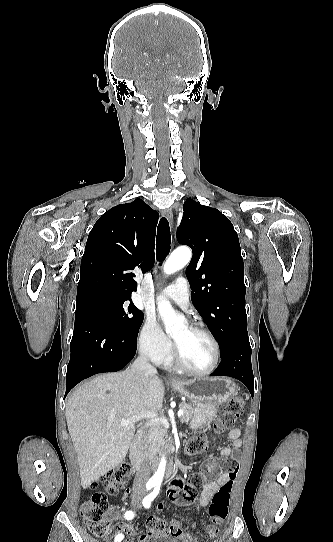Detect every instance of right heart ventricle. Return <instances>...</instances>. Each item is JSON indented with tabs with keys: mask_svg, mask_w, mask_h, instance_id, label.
I'll return each instance as SVG.
<instances>
[{
	"mask_svg": "<svg viewBox=\"0 0 333 542\" xmlns=\"http://www.w3.org/2000/svg\"><path fill=\"white\" fill-rule=\"evenodd\" d=\"M155 361L162 366H169L172 363L168 353L157 357Z\"/></svg>",
	"mask_w": 333,
	"mask_h": 542,
	"instance_id": "e07e8e85",
	"label": "right heart ventricle"
}]
</instances>
